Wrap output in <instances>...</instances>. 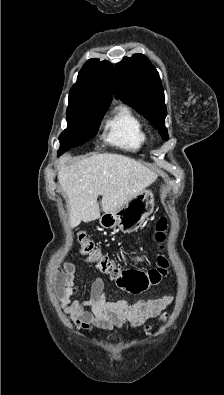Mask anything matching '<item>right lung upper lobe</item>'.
Masks as SVG:
<instances>
[{
  "instance_id": "1",
  "label": "right lung upper lobe",
  "mask_w": 224,
  "mask_h": 395,
  "mask_svg": "<svg viewBox=\"0 0 224 395\" xmlns=\"http://www.w3.org/2000/svg\"><path fill=\"white\" fill-rule=\"evenodd\" d=\"M113 65L99 59L88 60L79 72L70 95L82 96L109 106L113 92Z\"/></svg>"
}]
</instances>
